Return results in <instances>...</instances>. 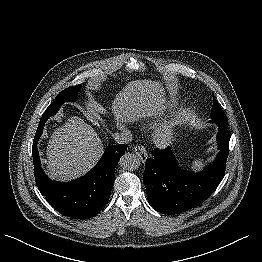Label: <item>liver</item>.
I'll return each mask as SVG.
<instances>
[{
  "mask_svg": "<svg viewBox=\"0 0 262 262\" xmlns=\"http://www.w3.org/2000/svg\"><path fill=\"white\" fill-rule=\"evenodd\" d=\"M163 90L158 81H130L112 101L111 110L117 127L123 130L125 123L160 114L166 101ZM103 151L97 132L83 119L73 116L50 137L46 173L55 180L76 179L95 165Z\"/></svg>",
  "mask_w": 262,
  "mask_h": 262,
  "instance_id": "6515ba94",
  "label": "liver"
}]
</instances>
